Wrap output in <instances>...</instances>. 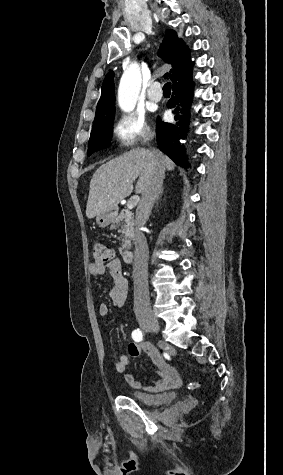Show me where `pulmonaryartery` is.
<instances>
[{"instance_id": "obj_1", "label": "pulmonary artery", "mask_w": 283, "mask_h": 475, "mask_svg": "<svg viewBox=\"0 0 283 475\" xmlns=\"http://www.w3.org/2000/svg\"><path fill=\"white\" fill-rule=\"evenodd\" d=\"M150 91L147 92V99L153 102H159L161 100V96L163 94V89L161 88V84L152 83ZM120 90H141V89H120Z\"/></svg>"}]
</instances>
